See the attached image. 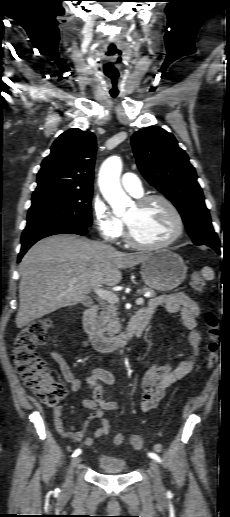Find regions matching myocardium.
Segmentation results:
<instances>
[{
  "label": "myocardium",
  "instance_id": "1",
  "mask_svg": "<svg viewBox=\"0 0 230 517\" xmlns=\"http://www.w3.org/2000/svg\"><path fill=\"white\" fill-rule=\"evenodd\" d=\"M152 201H160L169 209V211L171 212V214L174 218V221H175V230L172 233V235L169 236L164 241L159 242V243L148 244V243H143V242L138 241L133 236L129 224L127 223V221L124 220V222H125V240L130 246H132L134 248L141 249V250H156V249L165 248V247H168L169 245L173 244L174 242H176L182 236V234L184 232L185 224H184L183 217H182L180 211L178 210V208L168 197H166L162 194L145 195V196H142L139 199H137L135 204L138 207H143Z\"/></svg>",
  "mask_w": 230,
  "mask_h": 517
}]
</instances>
